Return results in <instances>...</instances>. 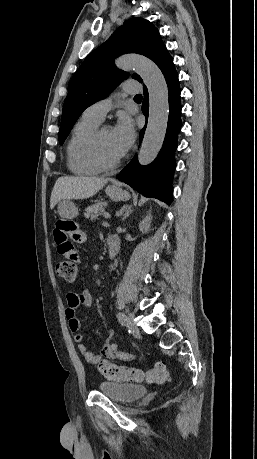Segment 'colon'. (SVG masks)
<instances>
[{
  "mask_svg": "<svg viewBox=\"0 0 257 459\" xmlns=\"http://www.w3.org/2000/svg\"><path fill=\"white\" fill-rule=\"evenodd\" d=\"M55 273L59 278L72 282L77 277V264L61 260L55 265ZM94 363L103 376L113 380L149 383H165L170 380L169 370L163 362H158L152 368L145 370L118 366L101 357H96Z\"/></svg>",
  "mask_w": 257,
  "mask_h": 459,
  "instance_id": "5ec220e1",
  "label": "colon"
}]
</instances>
